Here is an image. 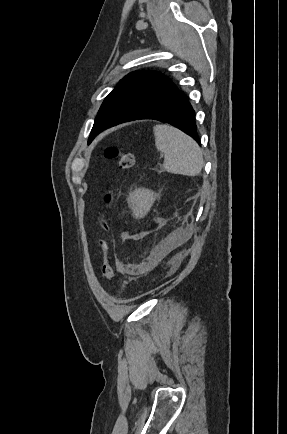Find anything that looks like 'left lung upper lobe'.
<instances>
[{
  "instance_id": "left-lung-upper-lobe-1",
  "label": "left lung upper lobe",
  "mask_w": 287,
  "mask_h": 434,
  "mask_svg": "<svg viewBox=\"0 0 287 434\" xmlns=\"http://www.w3.org/2000/svg\"><path fill=\"white\" fill-rule=\"evenodd\" d=\"M178 90L165 75L155 71H134L109 93L95 119L88 142L101 131L126 122L137 111Z\"/></svg>"
}]
</instances>
